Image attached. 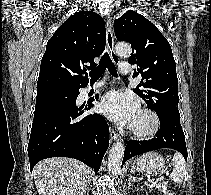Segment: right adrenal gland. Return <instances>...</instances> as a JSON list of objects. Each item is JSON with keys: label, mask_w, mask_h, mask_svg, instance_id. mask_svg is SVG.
I'll return each mask as SVG.
<instances>
[{"label": "right adrenal gland", "mask_w": 211, "mask_h": 195, "mask_svg": "<svg viewBox=\"0 0 211 195\" xmlns=\"http://www.w3.org/2000/svg\"><path fill=\"white\" fill-rule=\"evenodd\" d=\"M89 190H90V183H89V186L87 187V189L85 190L84 195H86V192L89 191Z\"/></svg>", "instance_id": "2a0ac1e0"}]
</instances>
